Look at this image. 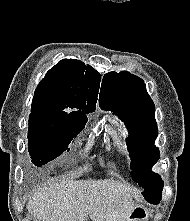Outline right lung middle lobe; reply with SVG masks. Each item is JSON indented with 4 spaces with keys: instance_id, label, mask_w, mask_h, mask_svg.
<instances>
[{
    "instance_id": "obj_1",
    "label": "right lung middle lobe",
    "mask_w": 190,
    "mask_h": 221,
    "mask_svg": "<svg viewBox=\"0 0 190 221\" xmlns=\"http://www.w3.org/2000/svg\"><path fill=\"white\" fill-rule=\"evenodd\" d=\"M86 122V119L68 121L55 116L30 115L28 150L32 163L40 167L61 155Z\"/></svg>"
}]
</instances>
